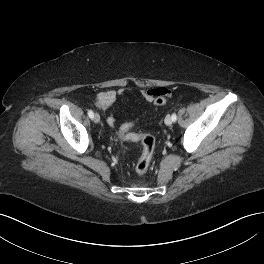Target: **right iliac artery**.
<instances>
[{"label": "right iliac artery", "instance_id": "1", "mask_svg": "<svg viewBox=\"0 0 264 264\" xmlns=\"http://www.w3.org/2000/svg\"><path fill=\"white\" fill-rule=\"evenodd\" d=\"M88 116H89L91 119H93V117H94V113H93L92 110H89V111H88Z\"/></svg>", "mask_w": 264, "mask_h": 264}]
</instances>
